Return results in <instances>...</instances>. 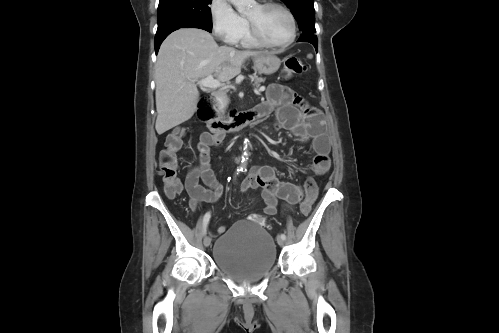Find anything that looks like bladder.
<instances>
[{"instance_id":"1","label":"bladder","mask_w":499,"mask_h":333,"mask_svg":"<svg viewBox=\"0 0 499 333\" xmlns=\"http://www.w3.org/2000/svg\"><path fill=\"white\" fill-rule=\"evenodd\" d=\"M213 260L224 274L253 282L273 270L277 251L273 237L262 225L240 220L216 240Z\"/></svg>"}]
</instances>
